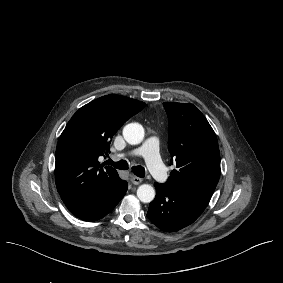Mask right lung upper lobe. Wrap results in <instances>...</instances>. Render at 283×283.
I'll list each match as a JSON object with an SVG mask.
<instances>
[{"mask_svg": "<svg viewBox=\"0 0 283 283\" xmlns=\"http://www.w3.org/2000/svg\"><path fill=\"white\" fill-rule=\"evenodd\" d=\"M145 103L120 95H106L81 107L62 132L56 148L57 190L72 212L89 210L118 192L123 180L99 157L110 152V141Z\"/></svg>", "mask_w": 283, "mask_h": 283, "instance_id": "right-lung-upper-lobe-1", "label": "right lung upper lobe"}]
</instances>
